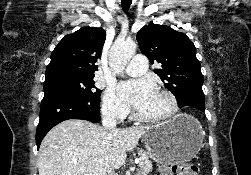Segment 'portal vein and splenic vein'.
Wrapping results in <instances>:
<instances>
[{
    "mask_svg": "<svg viewBox=\"0 0 251 175\" xmlns=\"http://www.w3.org/2000/svg\"><path fill=\"white\" fill-rule=\"evenodd\" d=\"M139 161H140L139 157H136L135 163H139ZM85 175H90V173H85Z\"/></svg>",
    "mask_w": 251,
    "mask_h": 175,
    "instance_id": "obj_1",
    "label": "portal vein and splenic vein"
}]
</instances>
